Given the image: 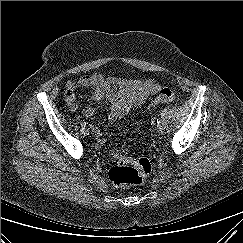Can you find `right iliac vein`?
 Segmentation results:
<instances>
[{
	"mask_svg": "<svg viewBox=\"0 0 243 243\" xmlns=\"http://www.w3.org/2000/svg\"><path fill=\"white\" fill-rule=\"evenodd\" d=\"M80 132L84 136L89 135V130L86 127L81 128Z\"/></svg>",
	"mask_w": 243,
	"mask_h": 243,
	"instance_id": "right-iliac-vein-1",
	"label": "right iliac vein"
}]
</instances>
